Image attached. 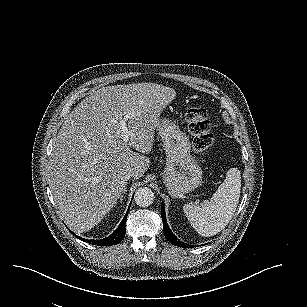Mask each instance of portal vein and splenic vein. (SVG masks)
Segmentation results:
<instances>
[{
  "instance_id": "1",
  "label": "portal vein and splenic vein",
  "mask_w": 307,
  "mask_h": 307,
  "mask_svg": "<svg viewBox=\"0 0 307 307\" xmlns=\"http://www.w3.org/2000/svg\"><path fill=\"white\" fill-rule=\"evenodd\" d=\"M130 118V116L125 115L123 118L120 119L119 121V125H120V130L122 132V137H123V141H128L129 140V130L127 128V124L126 122L128 121V119Z\"/></svg>"
}]
</instances>
